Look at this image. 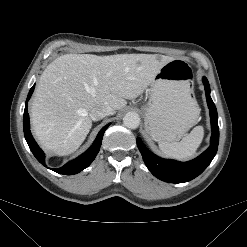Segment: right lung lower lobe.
<instances>
[{
  "label": "right lung lower lobe",
  "instance_id": "98d812e1",
  "mask_svg": "<svg viewBox=\"0 0 247 247\" xmlns=\"http://www.w3.org/2000/svg\"><path fill=\"white\" fill-rule=\"evenodd\" d=\"M35 85L30 89L26 103H25V110H24V116H23V128H24V135L25 139L29 145L30 150L36 157V159L46 167L45 164V156L43 151L38 147L35 140L33 139L31 132H30V124H29V115L27 113V102L30 99L33 91H34ZM109 127V124L104 126L100 132L98 133L94 143L90 146V148L84 152L82 155H80L78 158L68 162L64 166L58 168V169H52L53 171L64 174V175H73L76 173H79L86 167H88L92 161L95 159L97 153L99 152L102 138L104 135L105 130Z\"/></svg>",
  "mask_w": 247,
  "mask_h": 247
}]
</instances>
